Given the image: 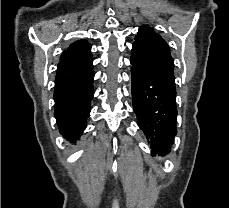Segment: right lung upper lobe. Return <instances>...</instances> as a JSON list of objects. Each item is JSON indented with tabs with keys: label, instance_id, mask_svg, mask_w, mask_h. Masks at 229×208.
Masks as SVG:
<instances>
[{
	"label": "right lung upper lobe",
	"instance_id": "obj_1",
	"mask_svg": "<svg viewBox=\"0 0 229 208\" xmlns=\"http://www.w3.org/2000/svg\"><path fill=\"white\" fill-rule=\"evenodd\" d=\"M90 51L91 46L85 39L72 43L64 50L57 68L55 88L88 72L93 60Z\"/></svg>",
	"mask_w": 229,
	"mask_h": 208
}]
</instances>
